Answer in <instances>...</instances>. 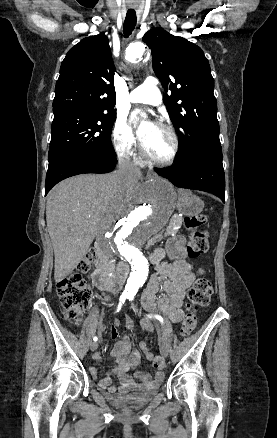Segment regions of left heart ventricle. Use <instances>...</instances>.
Wrapping results in <instances>:
<instances>
[{
  "label": "left heart ventricle",
  "instance_id": "obj_1",
  "mask_svg": "<svg viewBox=\"0 0 277 438\" xmlns=\"http://www.w3.org/2000/svg\"><path fill=\"white\" fill-rule=\"evenodd\" d=\"M139 132L151 156L159 160L170 158L173 151V141L165 131L154 124L147 123Z\"/></svg>",
  "mask_w": 277,
  "mask_h": 438
}]
</instances>
